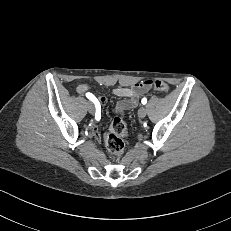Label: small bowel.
Returning a JSON list of instances; mask_svg holds the SVG:
<instances>
[{"label":"small bowel","mask_w":231,"mask_h":231,"mask_svg":"<svg viewBox=\"0 0 231 231\" xmlns=\"http://www.w3.org/2000/svg\"><path fill=\"white\" fill-rule=\"evenodd\" d=\"M151 81H144L137 83L131 87H117L112 90V94L114 96L122 98L120 100L116 107H115V113L117 114H123L127 110H130L137 106L139 102V97L141 94H143L148 88L150 87ZM77 92L80 94H83L85 92L89 93V86L86 83H80L77 86ZM98 103L100 104V107L104 105L107 101L106 97L99 96L96 98ZM97 120V119H96ZM98 121V120H97ZM92 134L96 139H100V133L98 130V127L95 123L91 126Z\"/></svg>","instance_id":"c3829d8e"}]
</instances>
